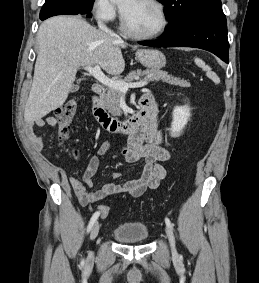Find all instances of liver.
Here are the masks:
<instances>
[{
    "label": "liver",
    "instance_id": "6515ba94",
    "mask_svg": "<svg viewBox=\"0 0 259 283\" xmlns=\"http://www.w3.org/2000/svg\"><path fill=\"white\" fill-rule=\"evenodd\" d=\"M39 51L24 119L34 122L61 107L80 67L99 65L108 74L119 75L125 61L118 38L94 28L81 16H55L38 31Z\"/></svg>",
    "mask_w": 259,
    "mask_h": 283
}]
</instances>
